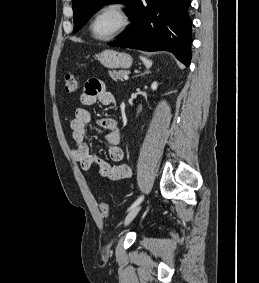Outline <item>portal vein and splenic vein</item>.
Here are the masks:
<instances>
[{
    "instance_id": "obj_1",
    "label": "portal vein and splenic vein",
    "mask_w": 259,
    "mask_h": 283,
    "mask_svg": "<svg viewBox=\"0 0 259 283\" xmlns=\"http://www.w3.org/2000/svg\"><path fill=\"white\" fill-rule=\"evenodd\" d=\"M128 78H129L128 75H125V76H124V79H125V80H128Z\"/></svg>"
}]
</instances>
